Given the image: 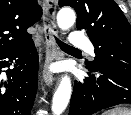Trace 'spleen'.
Listing matches in <instances>:
<instances>
[{
    "instance_id": "spleen-1",
    "label": "spleen",
    "mask_w": 131,
    "mask_h": 115,
    "mask_svg": "<svg viewBox=\"0 0 131 115\" xmlns=\"http://www.w3.org/2000/svg\"><path fill=\"white\" fill-rule=\"evenodd\" d=\"M102 115H131V110L116 108V109L108 110L104 112Z\"/></svg>"
}]
</instances>
